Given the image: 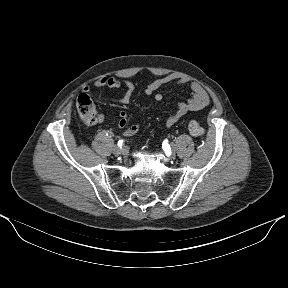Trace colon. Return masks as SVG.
Listing matches in <instances>:
<instances>
[{
	"label": "colon",
	"instance_id": "5ec220e1",
	"mask_svg": "<svg viewBox=\"0 0 288 288\" xmlns=\"http://www.w3.org/2000/svg\"><path fill=\"white\" fill-rule=\"evenodd\" d=\"M76 108L80 117L88 124H96L100 120L95 104L88 94H81L76 102ZM189 132L195 137H201L205 129L195 120L188 123Z\"/></svg>",
	"mask_w": 288,
	"mask_h": 288
}]
</instances>
